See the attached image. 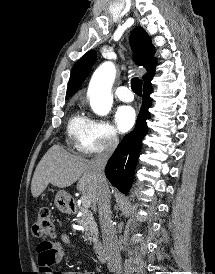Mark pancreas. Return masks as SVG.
Segmentation results:
<instances>
[{"label": "pancreas", "instance_id": "1", "mask_svg": "<svg viewBox=\"0 0 215 274\" xmlns=\"http://www.w3.org/2000/svg\"><path fill=\"white\" fill-rule=\"evenodd\" d=\"M80 216L76 219L77 223L84 228L85 241L89 244L98 242V228L93 218V214L88 209L82 207Z\"/></svg>", "mask_w": 215, "mask_h": 274}]
</instances>
